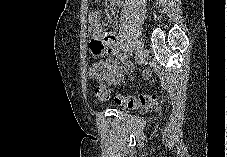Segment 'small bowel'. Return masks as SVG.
Instances as JSON below:
<instances>
[{
    "instance_id": "small-bowel-1",
    "label": "small bowel",
    "mask_w": 227,
    "mask_h": 157,
    "mask_svg": "<svg viewBox=\"0 0 227 157\" xmlns=\"http://www.w3.org/2000/svg\"><path fill=\"white\" fill-rule=\"evenodd\" d=\"M112 6H119L121 0H105ZM99 10H92L88 15L89 34L92 38L91 54L94 58H101L102 54L107 56L103 62L104 73L97 79H105L112 84L120 82L124 75L130 73L133 65L126 55L120 52L118 38L113 33L105 32Z\"/></svg>"
}]
</instances>
